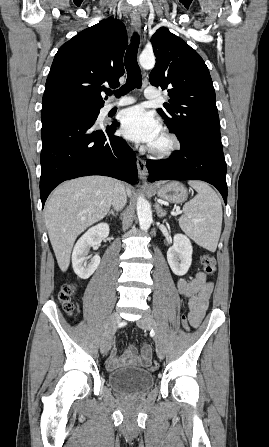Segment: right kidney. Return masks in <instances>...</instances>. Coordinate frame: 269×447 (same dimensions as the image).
<instances>
[{"instance_id": "ca27d5eb", "label": "right kidney", "mask_w": 269, "mask_h": 447, "mask_svg": "<svg viewBox=\"0 0 269 447\" xmlns=\"http://www.w3.org/2000/svg\"><path fill=\"white\" fill-rule=\"evenodd\" d=\"M109 225L108 224H97L87 229L86 233H83L76 241L72 253V265L75 273L81 277V279H88L95 269H97L100 263V255L96 253L93 255L90 263H87L86 257L89 247L93 245H98L104 237L109 235Z\"/></svg>"}]
</instances>
